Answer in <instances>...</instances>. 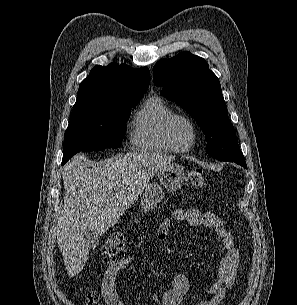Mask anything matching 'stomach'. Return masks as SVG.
I'll use <instances>...</instances> for the list:
<instances>
[{"label": "stomach", "mask_w": 297, "mask_h": 305, "mask_svg": "<svg viewBox=\"0 0 297 305\" xmlns=\"http://www.w3.org/2000/svg\"><path fill=\"white\" fill-rule=\"evenodd\" d=\"M158 179L160 185L148 184L141 197V207L144 211L154 209L162 201L164 193L161 186L169 191L181 188L185 179L184 168L179 164L170 163L158 171Z\"/></svg>", "instance_id": "obj_1"}]
</instances>
